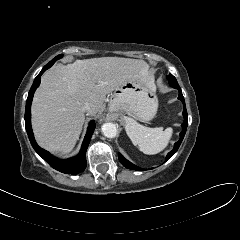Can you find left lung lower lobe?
Segmentation results:
<instances>
[{
	"instance_id": "0a47b994",
	"label": "left lung lower lobe",
	"mask_w": 240,
	"mask_h": 240,
	"mask_svg": "<svg viewBox=\"0 0 240 240\" xmlns=\"http://www.w3.org/2000/svg\"><path fill=\"white\" fill-rule=\"evenodd\" d=\"M167 79L169 80V84L173 87V88H176L179 90V97L178 99H180L183 104H184V110H183V116H184V123L182 124V132L180 133V139L178 142L175 143L174 145V148L172 151H170L168 154H167V159L168 158H171L178 150L183 138H184V135L186 133V129H187V125H188V115H187V111H186V106H185V101H184V97L182 95V91L177 83V80L175 79V77H171V76H167ZM119 160L120 162L122 163L123 166H125L126 168L128 169H131V170H138V171H143L144 169H141L137 166H135L134 164H132L131 162H129L128 160H126L121 154H119Z\"/></svg>"
}]
</instances>
